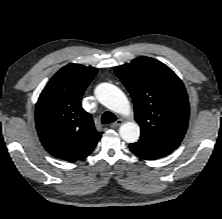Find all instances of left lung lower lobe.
Returning a JSON list of instances; mask_svg holds the SVG:
<instances>
[{
	"mask_svg": "<svg viewBox=\"0 0 222 219\" xmlns=\"http://www.w3.org/2000/svg\"><path fill=\"white\" fill-rule=\"evenodd\" d=\"M130 150L142 159L154 160L168 155L174 149L140 139L138 142L130 144Z\"/></svg>",
	"mask_w": 222,
	"mask_h": 219,
	"instance_id": "obj_1",
	"label": "left lung lower lobe"
}]
</instances>
